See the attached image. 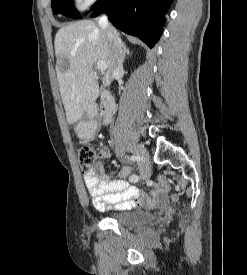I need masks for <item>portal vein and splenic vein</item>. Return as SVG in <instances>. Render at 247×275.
Wrapping results in <instances>:
<instances>
[{"instance_id":"portal-vein-and-splenic-vein-1","label":"portal vein and splenic vein","mask_w":247,"mask_h":275,"mask_svg":"<svg viewBox=\"0 0 247 275\" xmlns=\"http://www.w3.org/2000/svg\"><path fill=\"white\" fill-rule=\"evenodd\" d=\"M106 68H107V66H106L105 62L98 61L96 63V69H98L99 71L104 72L106 70Z\"/></svg>"}]
</instances>
